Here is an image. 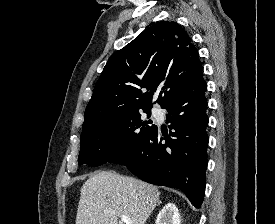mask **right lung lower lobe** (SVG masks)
I'll list each match as a JSON object with an SVG mask.
<instances>
[{
	"instance_id": "obj_1",
	"label": "right lung lower lobe",
	"mask_w": 275,
	"mask_h": 224,
	"mask_svg": "<svg viewBox=\"0 0 275 224\" xmlns=\"http://www.w3.org/2000/svg\"><path fill=\"white\" fill-rule=\"evenodd\" d=\"M206 89L201 73L162 107L169 112L168 133L155 127L138 144L111 162L125 165L145 182L182 190L199 208L205 193L209 142Z\"/></svg>"
}]
</instances>
